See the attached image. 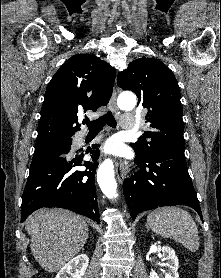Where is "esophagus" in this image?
<instances>
[{"label": "esophagus", "mask_w": 221, "mask_h": 278, "mask_svg": "<svg viewBox=\"0 0 221 278\" xmlns=\"http://www.w3.org/2000/svg\"><path fill=\"white\" fill-rule=\"evenodd\" d=\"M116 100H117V92H116L115 89H113V93H112V96H111V99H110V106H111V108L113 109L114 112L118 111ZM115 171H116L118 181L120 183H122L123 180H124L125 174H124V163L121 159L116 162Z\"/></svg>", "instance_id": "esophagus-1"}]
</instances>
